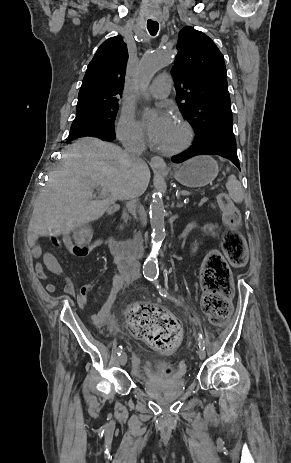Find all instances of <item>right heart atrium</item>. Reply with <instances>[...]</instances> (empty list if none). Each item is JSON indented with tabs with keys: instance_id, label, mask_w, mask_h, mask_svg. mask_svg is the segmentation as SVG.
I'll return each instance as SVG.
<instances>
[{
	"instance_id": "1",
	"label": "right heart atrium",
	"mask_w": 291,
	"mask_h": 463,
	"mask_svg": "<svg viewBox=\"0 0 291 463\" xmlns=\"http://www.w3.org/2000/svg\"><path fill=\"white\" fill-rule=\"evenodd\" d=\"M117 134L125 143L142 144L144 142L142 127L135 116L129 111L122 113L118 122Z\"/></svg>"
}]
</instances>
